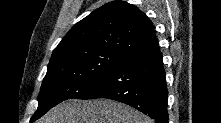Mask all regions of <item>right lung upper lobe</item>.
Listing matches in <instances>:
<instances>
[{"instance_id":"right-lung-upper-lobe-1","label":"right lung upper lobe","mask_w":221,"mask_h":123,"mask_svg":"<svg viewBox=\"0 0 221 123\" xmlns=\"http://www.w3.org/2000/svg\"><path fill=\"white\" fill-rule=\"evenodd\" d=\"M157 47L150 19L132 4L112 1L76 23L54 49L51 59L95 48L130 55Z\"/></svg>"}]
</instances>
